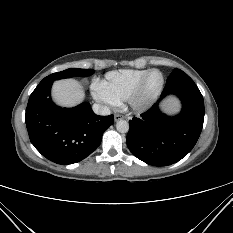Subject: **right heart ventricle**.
<instances>
[{"label":"right heart ventricle","instance_id":"1","mask_svg":"<svg viewBox=\"0 0 233 233\" xmlns=\"http://www.w3.org/2000/svg\"><path fill=\"white\" fill-rule=\"evenodd\" d=\"M148 69H123L109 72L100 82L117 104L127 100L141 77Z\"/></svg>","mask_w":233,"mask_h":233}]
</instances>
